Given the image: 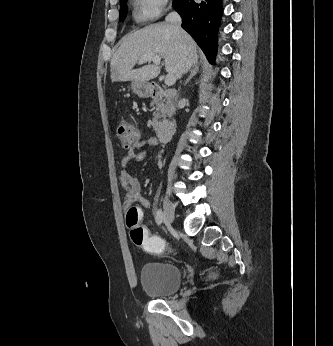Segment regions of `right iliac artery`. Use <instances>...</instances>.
Wrapping results in <instances>:
<instances>
[{"label":"right iliac artery","mask_w":333,"mask_h":346,"mask_svg":"<svg viewBox=\"0 0 333 346\" xmlns=\"http://www.w3.org/2000/svg\"><path fill=\"white\" fill-rule=\"evenodd\" d=\"M164 219V215L163 212L161 210H158L156 213V223L158 225H161Z\"/></svg>","instance_id":"right-iliac-artery-1"}]
</instances>
